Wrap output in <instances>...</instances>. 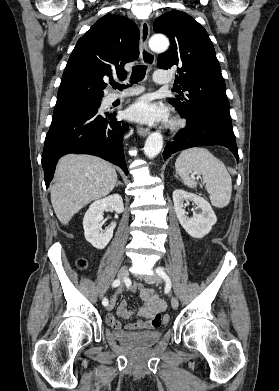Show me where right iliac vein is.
Listing matches in <instances>:
<instances>
[{"label": "right iliac vein", "instance_id": "1", "mask_svg": "<svg viewBox=\"0 0 279 391\" xmlns=\"http://www.w3.org/2000/svg\"><path fill=\"white\" fill-rule=\"evenodd\" d=\"M128 276V267L127 266H123L119 272H118V279L120 281H124L125 278ZM115 302H116V295L112 297V299L110 300L109 304L107 305L106 309L108 311L112 310L115 306Z\"/></svg>", "mask_w": 279, "mask_h": 391}]
</instances>
